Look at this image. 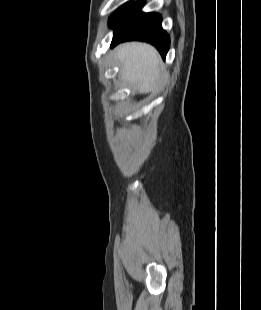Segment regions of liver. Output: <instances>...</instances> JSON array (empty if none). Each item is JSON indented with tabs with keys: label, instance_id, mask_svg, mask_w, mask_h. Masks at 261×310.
<instances>
[{
	"label": "liver",
	"instance_id": "obj_1",
	"mask_svg": "<svg viewBox=\"0 0 261 310\" xmlns=\"http://www.w3.org/2000/svg\"><path fill=\"white\" fill-rule=\"evenodd\" d=\"M120 77L140 93H147L159 82L161 61L156 49L146 43L129 42L116 49Z\"/></svg>",
	"mask_w": 261,
	"mask_h": 310
}]
</instances>
